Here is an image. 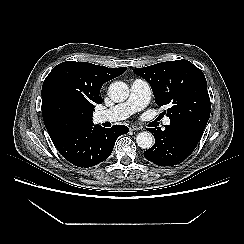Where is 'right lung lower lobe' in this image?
Here are the masks:
<instances>
[{
  "mask_svg": "<svg viewBox=\"0 0 244 244\" xmlns=\"http://www.w3.org/2000/svg\"><path fill=\"white\" fill-rule=\"evenodd\" d=\"M128 127L115 125L110 129L100 125L68 130L52 139L59 153L77 167L88 168L106 160L117 138Z\"/></svg>",
  "mask_w": 244,
  "mask_h": 244,
  "instance_id": "1",
  "label": "right lung lower lobe"
}]
</instances>
